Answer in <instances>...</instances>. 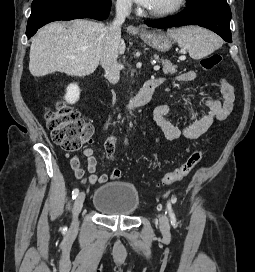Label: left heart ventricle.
Segmentation results:
<instances>
[{"mask_svg": "<svg viewBox=\"0 0 255 272\" xmlns=\"http://www.w3.org/2000/svg\"><path fill=\"white\" fill-rule=\"evenodd\" d=\"M176 0H153L149 10H162L175 3Z\"/></svg>", "mask_w": 255, "mask_h": 272, "instance_id": "1", "label": "left heart ventricle"}]
</instances>
